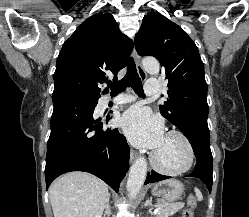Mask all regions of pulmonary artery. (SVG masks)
Instances as JSON below:
<instances>
[{
  "mask_svg": "<svg viewBox=\"0 0 249 217\" xmlns=\"http://www.w3.org/2000/svg\"><path fill=\"white\" fill-rule=\"evenodd\" d=\"M160 83L156 80H148L145 83V93L148 97H157L160 94ZM134 101V97L130 95L119 96L114 100L116 104H125Z\"/></svg>",
  "mask_w": 249,
  "mask_h": 217,
  "instance_id": "obj_1",
  "label": "pulmonary artery"
}]
</instances>
